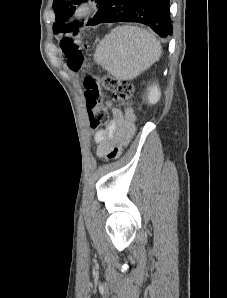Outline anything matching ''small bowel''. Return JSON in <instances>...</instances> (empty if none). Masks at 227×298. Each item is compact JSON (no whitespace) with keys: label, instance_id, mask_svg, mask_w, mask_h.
<instances>
[{"label":"small bowel","instance_id":"1","mask_svg":"<svg viewBox=\"0 0 227 298\" xmlns=\"http://www.w3.org/2000/svg\"><path fill=\"white\" fill-rule=\"evenodd\" d=\"M112 112V119L95 134L97 156L116 159L122 146L127 145L135 134L134 115L130 109L125 112L107 104Z\"/></svg>","mask_w":227,"mask_h":298}]
</instances>
